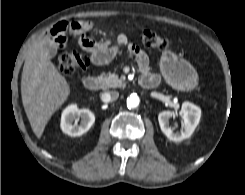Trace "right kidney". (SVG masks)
Masks as SVG:
<instances>
[{
    "label": "right kidney",
    "mask_w": 245,
    "mask_h": 195,
    "mask_svg": "<svg viewBox=\"0 0 245 195\" xmlns=\"http://www.w3.org/2000/svg\"><path fill=\"white\" fill-rule=\"evenodd\" d=\"M80 120V124L78 121ZM95 122L94 114L88 109H78L76 104L66 107L61 116V129L71 137L86 133Z\"/></svg>",
    "instance_id": "right-kidney-1"
}]
</instances>
